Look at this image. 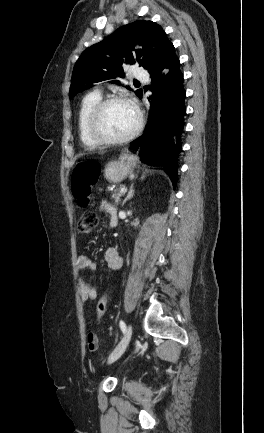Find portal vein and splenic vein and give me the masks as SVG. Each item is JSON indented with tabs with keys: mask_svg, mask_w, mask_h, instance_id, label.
<instances>
[{
	"mask_svg": "<svg viewBox=\"0 0 264 433\" xmlns=\"http://www.w3.org/2000/svg\"><path fill=\"white\" fill-rule=\"evenodd\" d=\"M120 192H121V193H126V192H127V188H125V187L121 188V189H120Z\"/></svg>",
	"mask_w": 264,
	"mask_h": 433,
	"instance_id": "1",
	"label": "portal vein and splenic vein"
}]
</instances>
